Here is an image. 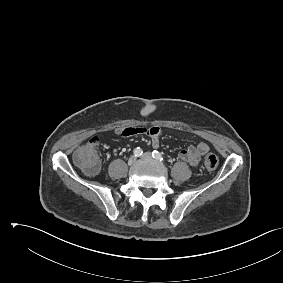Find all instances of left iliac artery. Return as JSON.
Segmentation results:
<instances>
[{
  "label": "left iliac artery",
  "instance_id": "44dca946",
  "mask_svg": "<svg viewBox=\"0 0 283 283\" xmlns=\"http://www.w3.org/2000/svg\"><path fill=\"white\" fill-rule=\"evenodd\" d=\"M152 156H153V158H155V159H157V160H159V161H161V162L164 161V159H163L161 153H159V152L156 151V150H154V151L152 152Z\"/></svg>",
  "mask_w": 283,
  "mask_h": 283
}]
</instances>
